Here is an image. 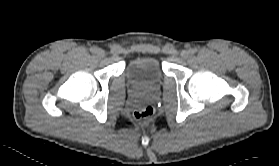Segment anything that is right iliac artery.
<instances>
[{
	"instance_id": "obj_1",
	"label": "right iliac artery",
	"mask_w": 279,
	"mask_h": 166,
	"mask_svg": "<svg viewBox=\"0 0 279 166\" xmlns=\"http://www.w3.org/2000/svg\"><path fill=\"white\" fill-rule=\"evenodd\" d=\"M90 51H91L92 53H95V52L97 51V48L93 46V47L90 48Z\"/></svg>"
}]
</instances>
